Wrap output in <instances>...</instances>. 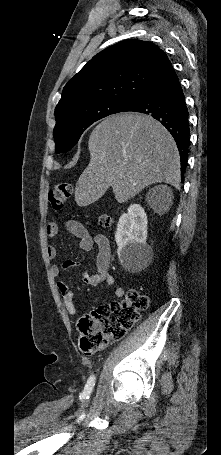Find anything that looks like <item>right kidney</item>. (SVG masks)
Masks as SVG:
<instances>
[{"mask_svg":"<svg viewBox=\"0 0 221 455\" xmlns=\"http://www.w3.org/2000/svg\"><path fill=\"white\" fill-rule=\"evenodd\" d=\"M147 215L139 204H131L126 214L119 218L115 241L122 266L130 271L145 265L151 257L146 243Z\"/></svg>","mask_w":221,"mask_h":455,"instance_id":"obj_1","label":"right kidney"}]
</instances>
